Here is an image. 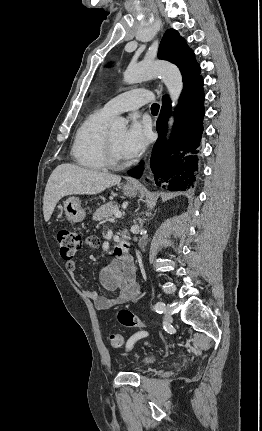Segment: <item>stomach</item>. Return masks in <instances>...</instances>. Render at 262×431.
Listing matches in <instances>:
<instances>
[{"label": "stomach", "instance_id": "stomach-1", "mask_svg": "<svg viewBox=\"0 0 262 431\" xmlns=\"http://www.w3.org/2000/svg\"><path fill=\"white\" fill-rule=\"evenodd\" d=\"M137 191L138 188L136 186L129 184L123 186V193L127 197H135ZM64 211L67 219L72 223L81 222L86 216L85 210L81 206V200L74 196L69 197L64 201Z\"/></svg>", "mask_w": 262, "mask_h": 431}]
</instances>
